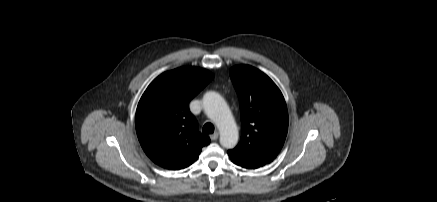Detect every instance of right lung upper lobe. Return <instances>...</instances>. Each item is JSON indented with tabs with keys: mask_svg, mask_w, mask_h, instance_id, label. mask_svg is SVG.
I'll use <instances>...</instances> for the list:
<instances>
[{
	"mask_svg": "<svg viewBox=\"0 0 437 202\" xmlns=\"http://www.w3.org/2000/svg\"><path fill=\"white\" fill-rule=\"evenodd\" d=\"M198 67H181L162 73L147 87L136 110L135 125L146 155L157 165L179 170L191 165L210 143L198 132L189 102L212 79Z\"/></svg>",
	"mask_w": 437,
	"mask_h": 202,
	"instance_id": "cb5924a9",
	"label": "right lung upper lobe"
}]
</instances>
